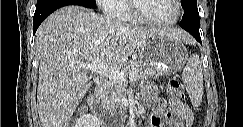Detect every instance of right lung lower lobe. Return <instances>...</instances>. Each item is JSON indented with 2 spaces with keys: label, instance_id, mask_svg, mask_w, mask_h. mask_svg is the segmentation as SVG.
Listing matches in <instances>:
<instances>
[{
  "label": "right lung lower lobe",
  "instance_id": "1",
  "mask_svg": "<svg viewBox=\"0 0 243 127\" xmlns=\"http://www.w3.org/2000/svg\"><path fill=\"white\" fill-rule=\"evenodd\" d=\"M79 5L92 8L85 0H40L37 1L36 11L33 18V33L37 31L39 25L55 10L67 6Z\"/></svg>",
  "mask_w": 243,
  "mask_h": 127
}]
</instances>
